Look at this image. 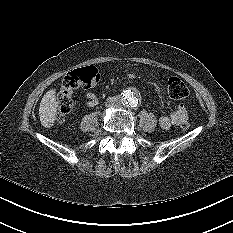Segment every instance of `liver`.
<instances>
[{
	"label": "liver",
	"mask_w": 233,
	"mask_h": 233,
	"mask_svg": "<svg viewBox=\"0 0 233 233\" xmlns=\"http://www.w3.org/2000/svg\"><path fill=\"white\" fill-rule=\"evenodd\" d=\"M58 107L59 102L56 99V90L50 89L44 94L39 107V117L42 126L50 128L54 125L57 119Z\"/></svg>",
	"instance_id": "6515ba94"
}]
</instances>
